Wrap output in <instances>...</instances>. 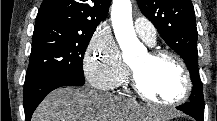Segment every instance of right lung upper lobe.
Returning <instances> with one entry per match:
<instances>
[{
	"label": "right lung upper lobe",
	"instance_id": "1",
	"mask_svg": "<svg viewBox=\"0 0 217 121\" xmlns=\"http://www.w3.org/2000/svg\"><path fill=\"white\" fill-rule=\"evenodd\" d=\"M109 0H44L35 27L59 25L79 31H95L109 11Z\"/></svg>",
	"mask_w": 217,
	"mask_h": 121
}]
</instances>
